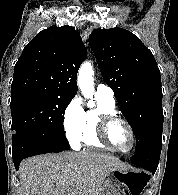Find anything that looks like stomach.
<instances>
[{"label": "stomach", "instance_id": "1", "mask_svg": "<svg viewBox=\"0 0 178 195\" xmlns=\"http://www.w3.org/2000/svg\"><path fill=\"white\" fill-rule=\"evenodd\" d=\"M129 170H114L106 178L100 195H127Z\"/></svg>", "mask_w": 178, "mask_h": 195}]
</instances>
